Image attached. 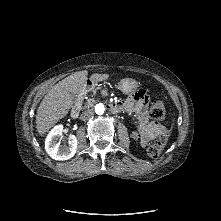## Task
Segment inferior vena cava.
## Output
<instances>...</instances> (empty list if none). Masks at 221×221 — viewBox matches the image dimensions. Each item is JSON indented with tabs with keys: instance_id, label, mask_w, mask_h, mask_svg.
Listing matches in <instances>:
<instances>
[{
	"instance_id": "602c4592",
	"label": "inferior vena cava",
	"mask_w": 221,
	"mask_h": 221,
	"mask_svg": "<svg viewBox=\"0 0 221 221\" xmlns=\"http://www.w3.org/2000/svg\"><path fill=\"white\" fill-rule=\"evenodd\" d=\"M93 115H94V111L92 109H88L81 114L80 119L82 121H86L89 118H91Z\"/></svg>"
}]
</instances>
